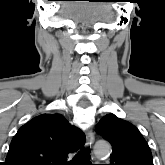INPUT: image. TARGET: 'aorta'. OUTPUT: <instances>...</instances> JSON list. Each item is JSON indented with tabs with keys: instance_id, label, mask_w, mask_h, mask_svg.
Segmentation results:
<instances>
[{
	"instance_id": "obj_1",
	"label": "aorta",
	"mask_w": 165,
	"mask_h": 165,
	"mask_svg": "<svg viewBox=\"0 0 165 165\" xmlns=\"http://www.w3.org/2000/svg\"><path fill=\"white\" fill-rule=\"evenodd\" d=\"M111 152V146L108 142L101 141L95 145V154L97 157H104L109 155Z\"/></svg>"
}]
</instances>
